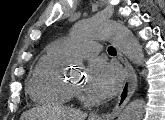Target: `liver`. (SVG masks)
<instances>
[{
  "mask_svg": "<svg viewBox=\"0 0 165 120\" xmlns=\"http://www.w3.org/2000/svg\"><path fill=\"white\" fill-rule=\"evenodd\" d=\"M85 113L76 111L69 108H51L46 110L45 108L36 107L26 111L22 114L21 120H35V119H47V120H84Z\"/></svg>",
  "mask_w": 165,
  "mask_h": 120,
  "instance_id": "liver-1",
  "label": "liver"
}]
</instances>
